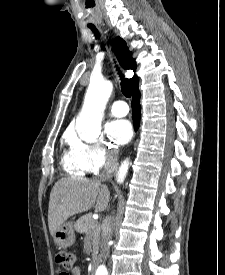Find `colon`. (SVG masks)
<instances>
[{
    "label": "colon",
    "mask_w": 225,
    "mask_h": 275,
    "mask_svg": "<svg viewBox=\"0 0 225 275\" xmlns=\"http://www.w3.org/2000/svg\"><path fill=\"white\" fill-rule=\"evenodd\" d=\"M55 262L63 268L71 269L75 262V255L68 251H59L55 254ZM59 275H68V273L61 272Z\"/></svg>",
    "instance_id": "obj_1"
}]
</instances>
